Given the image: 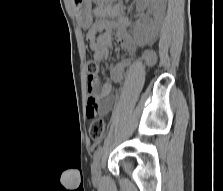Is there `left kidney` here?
<instances>
[{"mask_svg":"<svg viewBox=\"0 0 223 191\" xmlns=\"http://www.w3.org/2000/svg\"><path fill=\"white\" fill-rule=\"evenodd\" d=\"M150 7L153 10V20L148 27H136L135 35L144 42L154 40L159 32L164 14L165 0H140L138 9Z\"/></svg>","mask_w":223,"mask_h":191,"instance_id":"5707ae66","label":"left kidney"}]
</instances>
